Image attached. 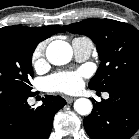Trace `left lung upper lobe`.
<instances>
[{
	"label": "left lung upper lobe",
	"mask_w": 139,
	"mask_h": 139,
	"mask_svg": "<svg viewBox=\"0 0 139 139\" xmlns=\"http://www.w3.org/2000/svg\"><path fill=\"white\" fill-rule=\"evenodd\" d=\"M65 31L90 37L96 44L101 64L89 88L108 91L121 81L139 74V31L111 19H86L63 26Z\"/></svg>",
	"instance_id": "1"
}]
</instances>
